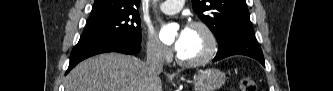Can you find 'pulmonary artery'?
Segmentation results:
<instances>
[{"instance_id":"e3ab8cb5","label":"pulmonary artery","mask_w":333,"mask_h":91,"mask_svg":"<svg viewBox=\"0 0 333 91\" xmlns=\"http://www.w3.org/2000/svg\"><path fill=\"white\" fill-rule=\"evenodd\" d=\"M183 1H163L161 4V10L166 14H174L181 10Z\"/></svg>"}]
</instances>
